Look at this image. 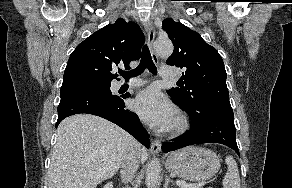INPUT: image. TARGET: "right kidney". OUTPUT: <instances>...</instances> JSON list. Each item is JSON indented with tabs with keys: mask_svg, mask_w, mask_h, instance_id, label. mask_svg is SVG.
Returning a JSON list of instances; mask_svg holds the SVG:
<instances>
[{
	"mask_svg": "<svg viewBox=\"0 0 292 188\" xmlns=\"http://www.w3.org/2000/svg\"><path fill=\"white\" fill-rule=\"evenodd\" d=\"M103 188H113V185H112V183L110 182V183L106 184Z\"/></svg>",
	"mask_w": 292,
	"mask_h": 188,
	"instance_id": "1",
	"label": "right kidney"
}]
</instances>
